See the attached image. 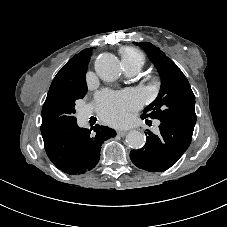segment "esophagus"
I'll return each instance as SVG.
<instances>
[{"label": "esophagus", "mask_w": 227, "mask_h": 227, "mask_svg": "<svg viewBox=\"0 0 227 227\" xmlns=\"http://www.w3.org/2000/svg\"><path fill=\"white\" fill-rule=\"evenodd\" d=\"M117 134H118L119 136H124V135L127 134V131H126V130H118V131H117Z\"/></svg>", "instance_id": "1"}]
</instances>
